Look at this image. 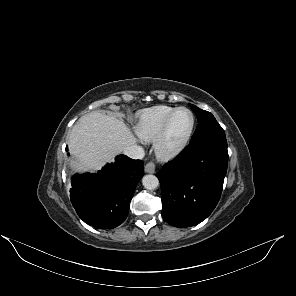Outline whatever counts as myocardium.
Here are the masks:
<instances>
[{
  "label": "myocardium",
  "instance_id": "1",
  "mask_svg": "<svg viewBox=\"0 0 296 296\" xmlns=\"http://www.w3.org/2000/svg\"><path fill=\"white\" fill-rule=\"evenodd\" d=\"M180 111L189 112L192 118L191 126L188 132L186 133V135L182 138V140L179 143H177L174 146H168L167 137H168V131H169L170 125L174 117L176 116V114ZM195 125H196V118L194 113L190 109L186 107L176 108L166 119L157 138L155 139V151L157 156L162 160H170L180 155L187 147L192 137V134L194 132Z\"/></svg>",
  "mask_w": 296,
  "mask_h": 296
}]
</instances>
